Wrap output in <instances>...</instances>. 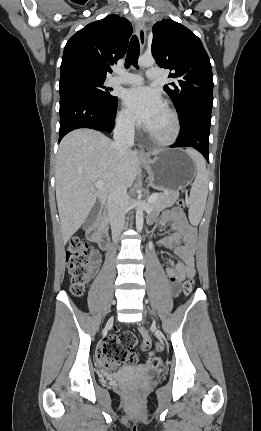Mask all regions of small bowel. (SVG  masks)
Returning a JSON list of instances; mask_svg holds the SVG:
<instances>
[{
    "label": "small bowel",
    "instance_id": "1",
    "mask_svg": "<svg viewBox=\"0 0 261 431\" xmlns=\"http://www.w3.org/2000/svg\"><path fill=\"white\" fill-rule=\"evenodd\" d=\"M153 219H151L152 221ZM161 227L169 226L172 230L170 234L159 241V245L163 247H177V254L180 260L177 263L170 261L169 267L166 269L167 275L171 283V290L174 295L178 293L180 283L189 276H194V245L189 242L181 245V238L184 234L194 236V229L191 228L186 220L184 212L179 208L166 210L158 220ZM101 255L97 251H92L90 255V266L95 270L101 263ZM153 343L149 336L143 334V343L141 346L142 353L147 352ZM153 366V365H151Z\"/></svg>",
    "mask_w": 261,
    "mask_h": 431
}]
</instances>
